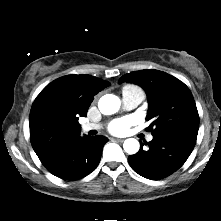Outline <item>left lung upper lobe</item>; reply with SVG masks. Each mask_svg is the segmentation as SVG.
<instances>
[{"mask_svg": "<svg viewBox=\"0 0 221 221\" xmlns=\"http://www.w3.org/2000/svg\"><path fill=\"white\" fill-rule=\"evenodd\" d=\"M140 85L147 93L152 135L173 134L196 142L199 115L192 93L177 78L154 69L123 75L120 83ZM154 126V129L151 127Z\"/></svg>", "mask_w": 221, "mask_h": 221, "instance_id": "left-lung-upper-lobe-1", "label": "left lung upper lobe"}]
</instances>
